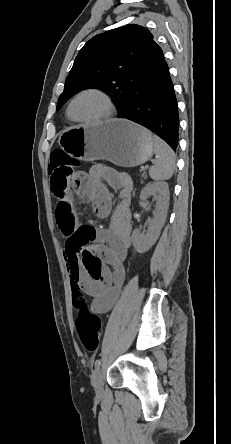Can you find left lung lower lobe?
Here are the masks:
<instances>
[{
	"label": "left lung lower lobe",
	"mask_w": 231,
	"mask_h": 444,
	"mask_svg": "<svg viewBox=\"0 0 231 444\" xmlns=\"http://www.w3.org/2000/svg\"><path fill=\"white\" fill-rule=\"evenodd\" d=\"M118 117L132 120L150 129L176 151L178 107L162 50L137 75L126 105L119 111Z\"/></svg>",
	"instance_id": "1"
}]
</instances>
